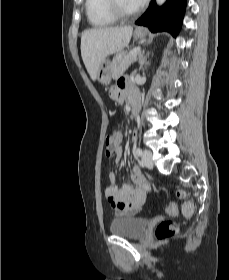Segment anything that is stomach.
Returning <instances> with one entry per match:
<instances>
[{
    "label": "stomach",
    "instance_id": "0dacf381",
    "mask_svg": "<svg viewBox=\"0 0 229 280\" xmlns=\"http://www.w3.org/2000/svg\"><path fill=\"white\" fill-rule=\"evenodd\" d=\"M145 35L146 31L144 29H138L134 32V37L136 39H141L145 37ZM111 78V63L109 60L105 59L97 72V80L103 85H109L111 82Z\"/></svg>",
    "mask_w": 229,
    "mask_h": 280
}]
</instances>
